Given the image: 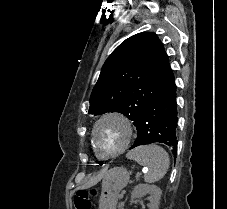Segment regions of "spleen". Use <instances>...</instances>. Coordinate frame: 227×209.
<instances>
[{
    "label": "spleen",
    "mask_w": 227,
    "mask_h": 209,
    "mask_svg": "<svg viewBox=\"0 0 227 209\" xmlns=\"http://www.w3.org/2000/svg\"><path fill=\"white\" fill-rule=\"evenodd\" d=\"M126 157L148 169L144 175L145 183L160 181L169 169V157L166 151L158 145H141L129 151Z\"/></svg>",
    "instance_id": "obj_1"
}]
</instances>
